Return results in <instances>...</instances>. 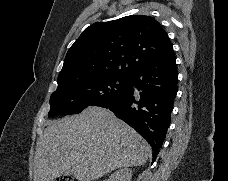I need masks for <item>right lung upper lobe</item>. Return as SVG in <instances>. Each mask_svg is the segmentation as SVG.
<instances>
[{"label":"right lung upper lobe","instance_id":"1","mask_svg":"<svg viewBox=\"0 0 228 181\" xmlns=\"http://www.w3.org/2000/svg\"><path fill=\"white\" fill-rule=\"evenodd\" d=\"M173 50L161 24L145 15H131L87 27L70 47L58 86L105 75L132 76Z\"/></svg>","mask_w":228,"mask_h":181}]
</instances>
